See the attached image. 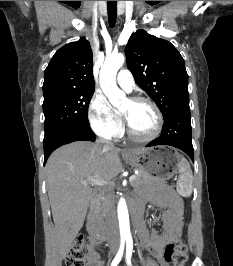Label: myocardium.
I'll list each match as a JSON object with an SVG mask.
<instances>
[{
  "instance_id": "myocardium-1",
  "label": "myocardium",
  "mask_w": 233,
  "mask_h": 266,
  "mask_svg": "<svg viewBox=\"0 0 233 266\" xmlns=\"http://www.w3.org/2000/svg\"><path fill=\"white\" fill-rule=\"evenodd\" d=\"M129 100L131 102H135V103L144 102V103L149 104L155 111L157 122H156V127H155L154 131L150 135L138 136L132 131V129L128 123L127 118L122 113L124 121H125L126 132H127L128 137L131 140H133L135 142H140V143L151 142V141L155 140L156 138H158L162 129H163L164 118H163L162 111L159 108V106L156 104V102H154L152 99H150L148 97H144V96H134V97L130 98Z\"/></svg>"
}]
</instances>
